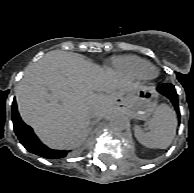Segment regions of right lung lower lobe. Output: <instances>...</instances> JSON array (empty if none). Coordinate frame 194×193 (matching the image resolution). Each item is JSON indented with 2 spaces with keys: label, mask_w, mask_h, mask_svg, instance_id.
Listing matches in <instances>:
<instances>
[{
  "label": "right lung lower lobe",
  "mask_w": 194,
  "mask_h": 193,
  "mask_svg": "<svg viewBox=\"0 0 194 193\" xmlns=\"http://www.w3.org/2000/svg\"><path fill=\"white\" fill-rule=\"evenodd\" d=\"M12 111H13L12 120L14 125V131L21 144L29 152L48 159L66 157L68 153L67 151L50 149L39 141V139L33 133L32 128L26 125L20 118V115L17 111L15 100L13 101L12 104Z\"/></svg>",
  "instance_id": "1"
}]
</instances>
